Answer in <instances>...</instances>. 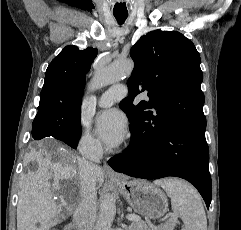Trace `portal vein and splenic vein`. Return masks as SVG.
Instances as JSON below:
<instances>
[{"label":"portal vein and splenic vein","instance_id":"1","mask_svg":"<svg viewBox=\"0 0 241 230\" xmlns=\"http://www.w3.org/2000/svg\"><path fill=\"white\" fill-rule=\"evenodd\" d=\"M169 217L173 218L174 215L173 214H169L164 219H162V221L165 220L166 218H169ZM127 219L130 220V221H139L140 217H138L136 215H127Z\"/></svg>","mask_w":241,"mask_h":230}]
</instances>
